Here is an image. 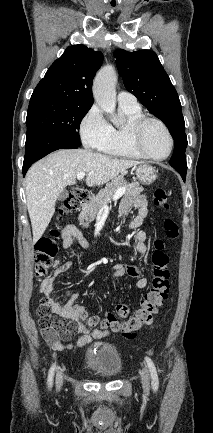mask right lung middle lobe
<instances>
[{
	"label": "right lung middle lobe",
	"instance_id": "right-lung-middle-lobe-1",
	"mask_svg": "<svg viewBox=\"0 0 213 433\" xmlns=\"http://www.w3.org/2000/svg\"><path fill=\"white\" fill-rule=\"evenodd\" d=\"M92 105L54 100H30L27 112V136L47 132L80 145L78 130Z\"/></svg>",
	"mask_w": 213,
	"mask_h": 433
}]
</instances>
